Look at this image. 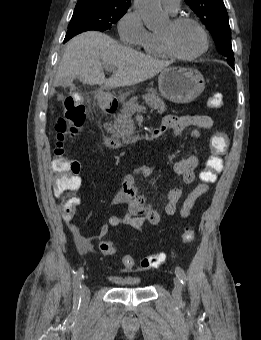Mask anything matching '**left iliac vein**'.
Wrapping results in <instances>:
<instances>
[{
  "mask_svg": "<svg viewBox=\"0 0 261 340\" xmlns=\"http://www.w3.org/2000/svg\"><path fill=\"white\" fill-rule=\"evenodd\" d=\"M172 294L175 300H179L181 298L182 284L177 277L174 278V288H173Z\"/></svg>",
  "mask_w": 261,
  "mask_h": 340,
  "instance_id": "left-iliac-vein-1",
  "label": "left iliac vein"
}]
</instances>
